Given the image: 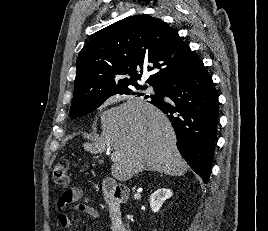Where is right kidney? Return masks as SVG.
Instances as JSON below:
<instances>
[{"label": "right kidney", "instance_id": "obj_1", "mask_svg": "<svg viewBox=\"0 0 268 231\" xmlns=\"http://www.w3.org/2000/svg\"><path fill=\"white\" fill-rule=\"evenodd\" d=\"M173 195L172 191L167 188H160L150 196V207L154 213H157L163 203Z\"/></svg>", "mask_w": 268, "mask_h": 231}]
</instances>
